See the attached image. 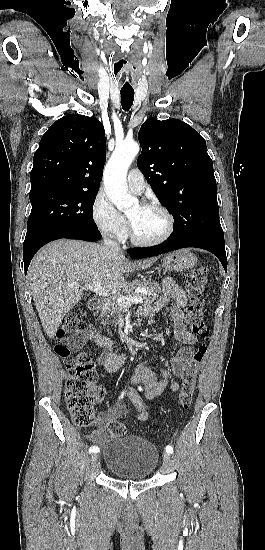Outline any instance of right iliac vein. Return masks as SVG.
I'll list each match as a JSON object with an SVG mask.
<instances>
[{"label": "right iliac vein", "mask_w": 265, "mask_h": 550, "mask_svg": "<svg viewBox=\"0 0 265 550\" xmlns=\"http://www.w3.org/2000/svg\"><path fill=\"white\" fill-rule=\"evenodd\" d=\"M91 464H92L93 466H95V465L97 464V455H96V454H93V455L91 456Z\"/></svg>", "instance_id": "1"}]
</instances>
